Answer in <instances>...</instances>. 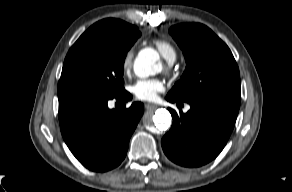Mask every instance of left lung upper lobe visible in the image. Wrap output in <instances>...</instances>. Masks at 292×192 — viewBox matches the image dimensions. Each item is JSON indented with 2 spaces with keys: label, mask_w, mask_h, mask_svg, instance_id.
<instances>
[{
  "label": "left lung upper lobe",
  "mask_w": 292,
  "mask_h": 192,
  "mask_svg": "<svg viewBox=\"0 0 292 192\" xmlns=\"http://www.w3.org/2000/svg\"><path fill=\"white\" fill-rule=\"evenodd\" d=\"M169 33L181 47L185 72L167 96L190 102L201 98L240 100V75L228 46L207 26L183 23Z\"/></svg>",
  "instance_id": "obj_1"
}]
</instances>
